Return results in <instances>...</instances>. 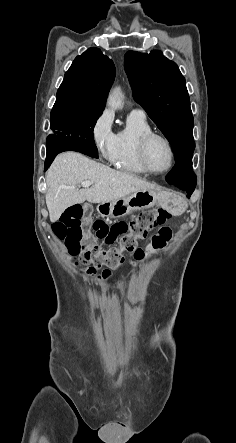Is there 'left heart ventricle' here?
I'll use <instances>...</instances> for the list:
<instances>
[{
  "mask_svg": "<svg viewBox=\"0 0 236 443\" xmlns=\"http://www.w3.org/2000/svg\"><path fill=\"white\" fill-rule=\"evenodd\" d=\"M148 161L150 166L157 171L164 170L170 163V151L161 139H153L148 147Z\"/></svg>",
  "mask_w": 236,
  "mask_h": 443,
  "instance_id": "obj_1",
  "label": "left heart ventricle"
}]
</instances>
